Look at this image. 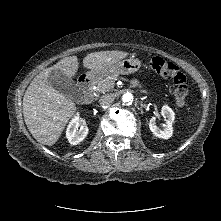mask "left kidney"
I'll list each match as a JSON object with an SVG mask.
<instances>
[{"instance_id": "obj_1", "label": "left kidney", "mask_w": 221, "mask_h": 221, "mask_svg": "<svg viewBox=\"0 0 221 221\" xmlns=\"http://www.w3.org/2000/svg\"><path fill=\"white\" fill-rule=\"evenodd\" d=\"M161 114L166 119V124L163 126V128L161 129V128L157 127L155 116H153L150 119L149 128H150L151 132L156 137H159V138H162V139H169L173 134L172 125H173V122H174V119H175V114H174V111L167 105H164L162 107Z\"/></svg>"}]
</instances>
